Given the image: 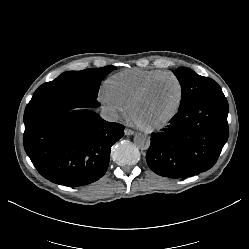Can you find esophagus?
Returning <instances> with one entry per match:
<instances>
[{"label": "esophagus", "mask_w": 249, "mask_h": 249, "mask_svg": "<svg viewBox=\"0 0 249 249\" xmlns=\"http://www.w3.org/2000/svg\"><path fill=\"white\" fill-rule=\"evenodd\" d=\"M124 132H125V135H134L135 134V131H133L132 129H129V128H125Z\"/></svg>", "instance_id": "obj_1"}]
</instances>
